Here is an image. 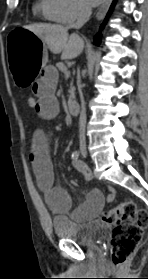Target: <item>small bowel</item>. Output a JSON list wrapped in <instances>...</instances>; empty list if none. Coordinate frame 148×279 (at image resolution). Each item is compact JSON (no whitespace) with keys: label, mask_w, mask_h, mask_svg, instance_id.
I'll return each mask as SVG.
<instances>
[{"label":"small bowel","mask_w":148,"mask_h":279,"mask_svg":"<svg viewBox=\"0 0 148 279\" xmlns=\"http://www.w3.org/2000/svg\"><path fill=\"white\" fill-rule=\"evenodd\" d=\"M58 82V72L52 66L44 67L38 79L33 84L32 93L37 98L38 106L36 113L43 119H53L59 113V103L55 96V88ZM29 159L32 164L38 186L45 194L46 201L56 213L69 212L72 200L69 193L62 187L54 184L53 167L50 159L47 139L41 130L35 131ZM74 168L86 179L91 178L89 167L79 161L73 160ZM115 199V190L108 188L106 200L112 202ZM104 195L101 191L91 190L85 201L71 212V217L75 221L89 220L97 217L104 206Z\"/></svg>","instance_id":"1"}]
</instances>
